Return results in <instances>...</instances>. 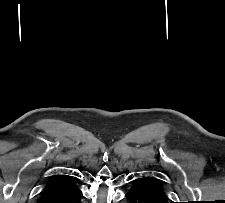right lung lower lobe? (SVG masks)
<instances>
[{
  "mask_svg": "<svg viewBox=\"0 0 225 203\" xmlns=\"http://www.w3.org/2000/svg\"><path fill=\"white\" fill-rule=\"evenodd\" d=\"M46 189L43 193V197L41 198V203H81V199L83 198L81 190L72 195H64V196H52V194L46 195Z\"/></svg>",
  "mask_w": 225,
  "mask_h": 203,
  "instance_id": "1",
  "label": "right lung lower lobe"
}]
</instances>
